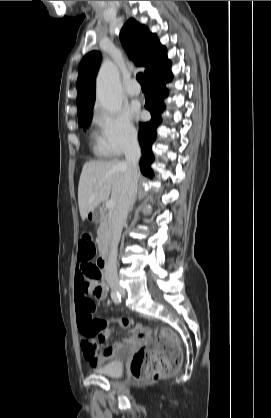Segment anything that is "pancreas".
Returning <instances> with one entry per match:
<instances>
[{"label": "pancreas", "instance_id": "cf45deb5", "mask_svg": "<svg viewBox=\"0 0 271 418\" xmlns=\"http://www.w3.org/2000/svg\"><path fill=\"white\" fill-rule=\"evenodd\" d=\"M97 243L99 248L105 247L112 236V224H111V216L108 213H105L100 222V226L97 230Z\"/></svg>", "mask_w": 271, "mask_h": 418}]
</instances>
